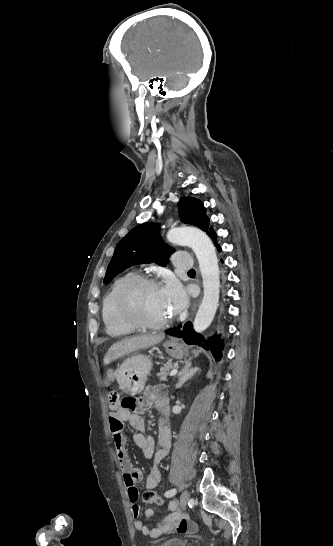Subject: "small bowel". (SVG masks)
Wrapping results in <instances>:
<instances>
[{"label":"small bowel","mask_w":333,"mask_h":546,"mask_svg":"<svg viewBox=\"0 0 333 546\" xmlns=\"http://www.w3.org/2000/svg\"><path fill=\"white\" fill-rule=\"evenodd\" d=\"M106 374V379L108 381L115 380V370H109ZM108 381L105 383L107 386L110 384ZM152 405L156 406L160 414L157 442H155L151 435L145 434L146 427L143 413L145 409ZM124 423H128L136 431L133 436L135 444L142 450L145 458L153 461L151 471L146 477L145 484L149 489L156 488L161 482L159 464L168 454L171 446L168 398L162 393L161 388L158 386L148 387L135 403L134 408L117 407L108 417L109 429L116 451L118 466L121 470L123 482L128 492L132 515L136 519L141 511V507L138 503L137 483L142 480L143 476L141 470L133 466L127 454L126 436L123 432ZM167 509L170 513L165 515L155 527L149 528L141 520L136 519L134 522L135 528L145 535L157 537L170 531L176 525L177 531L180 533H184L191 527L185 514L179 510L177 503L170 502L167 505ZM153 513L152 509H146V518H152Z\"/></svg>","instance_id":"small-bowel-1"}]
</instances>
